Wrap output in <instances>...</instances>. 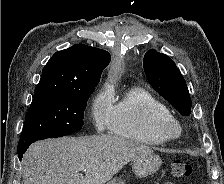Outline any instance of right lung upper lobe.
Instances as JSON below:
<instances>
[{
  "mask_svg": "<svg viewBox=\"0 0 224 184\" xmlns=\"http://www.w3.org/2000/svg\"><path fill=\"white\" fill-rule=\"evenodd\" d=\"M110 60L108 52L83 44L58 51L43 68L34 92L94 89Z\"/></svg>",
  "mask_w": 224,
  "mask_h": 184,
  "instance_id": "obj_1",
  "label": "right lung upper lobe"
}]
</instances>
